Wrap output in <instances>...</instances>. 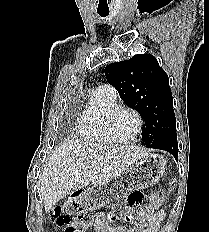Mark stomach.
Returning <instances> with one entry per match:
<instances>
[{
	"mask_svg": "<svg viewBox=\"0 0 209 232\" xmlns=\"http://www.w3.org/2000/svg\"><path fill=\"white\" fill-rule=\"evenodd\" d=\"M165 168L166 160L162 155L149 154L126 171H120V176H114L112 182L90 186L84 194L69 198L64 214H71L74 221H89L86 214H92L93 207L114 203L115 199H126L130 190H141L155 184L163 176Z\"/></svg>",
	"mask_w": 209,
	"mask_h": 232,
	"instance_id": "0dacf381",
	"label": "stomach"
}]
</instances>
